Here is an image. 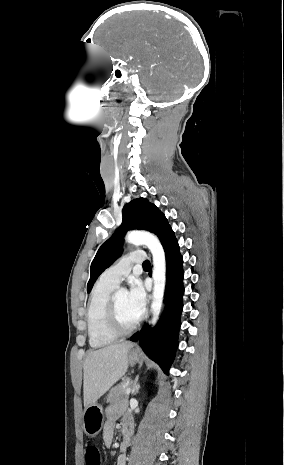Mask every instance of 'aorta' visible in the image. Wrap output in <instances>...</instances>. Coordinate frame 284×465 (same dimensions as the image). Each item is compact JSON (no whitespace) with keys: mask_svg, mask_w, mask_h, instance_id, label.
<instances>
[{"mask_svg":"<svg viewBox=\"0 0 284 465\" xmlns=\"http://www.w3.org/2000/svg\"><path fill=\"white\" fill-rule=\"evenodd\" d=\"M126 240L134 245H146L153 257V297L151 303L152 320L151 323L155 325L158 321L165 289L166 280V259L164 249L159 239L148 232L132 231L126 235Z\"/></svg>","mask_w":284,"mask_h":465,"instance_id":"1","label":"aorta"}]
</instances>
